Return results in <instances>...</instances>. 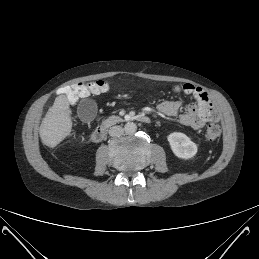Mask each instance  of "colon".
<instances>
[{
    "instance_id": "5ec220e1",
    "label": "colon",
    "mask_w": 259,
    "mask_h": 259,
    "mask_svg": "<svg viewBox=\"0 0 259 259\" xmlns=\"http://www.w3.org/2000/svg\"><path fill=\"white\" fill-rule=\"evenodd\" d=\"M108 89V84L104 80H96L87 83H78L63 89V94L67 97L70 102H75L79 97H85L89 94H100L106 92ZM181 91V95L184 98H192L193 96L198 97L200 100L207 102L209 94L202 88H195L191 84H184L177 89ZM212 107L207 103V111L212 113ZM221 134L220 126L212 122L208 124L205 130V136L208 140L214 141L219 138Z\"/></svg>"
}]
</instances>
